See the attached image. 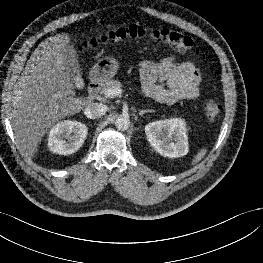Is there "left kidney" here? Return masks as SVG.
<instances>
[{
    "label": "left kidney",
    "instance_id": "1",
    "mask_svg": "<svg viewBox=\"0 0 263 263\" xmlns=\"http://www.w3.org/2000/svg\"><path fill=\"white\" fill-rule=\"evenodd\" d=\"M147 140L160 155L169 158L188 153L186 125L182 119H166L145 126Z\"/></svg>",
    "mask_w": 263,
    "mask_h": 263
}]
</instances>
